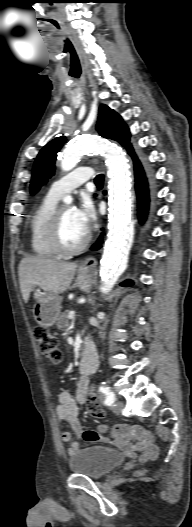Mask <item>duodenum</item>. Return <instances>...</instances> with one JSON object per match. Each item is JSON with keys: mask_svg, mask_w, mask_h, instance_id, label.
Segmentation results:
<instances>
[{"mask_svg": "<svg viewBox=\"0 0 192 527\" xmlns=\"http://www.w3.org/2000/svg\"><path fill=\"white\" fill-rule=\"evenodd\" d=\"M97 367V357L94 347L88 343L85 345L81 362H80V372L83 375H89L95 371Z\"/></svg>", "mask_w": 192, "mask_h": 527, "instance_id": "obj_1", "label": "duodenum"}]
</instances>
